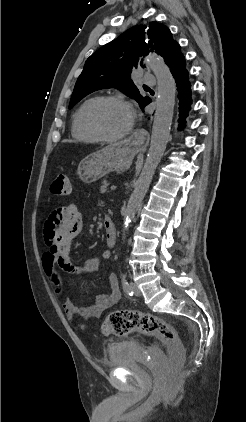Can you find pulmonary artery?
Returning <instances> with one entry per match:
<instances>
[{"mask_svg":"<svg viewBox=\"0 0 246 422\" xmlns=\"http://www.w3.org/2000/svg\"><path fill=\"white\" fill-rule=\"evenodd\" d=\"M143 82L145 83V84H147V85H151V86H153V85H155L156 84V82H157V80H156V77L153 75V74H151V73H148V72H146L144 75H143Z\"/></svg>","mask_w":246,"mask_h":422,"instance_id":"obj_1","label":"pulmonary artery"}]
</instances>
